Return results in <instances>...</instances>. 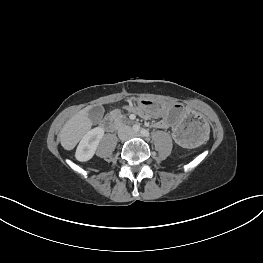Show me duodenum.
<instances>
[{"label":"duodenum","instance_id":"410a0bca","mask_svg":"<svg viewBox=\"0 0 263 263\" xmlns=\"http://www.w3.org/2000/svg\"><path fill=\"white\" fill-rule=\"evenodd\" d=\"M104 125L106 128L112 130V129L120 126L121 122L115 116L110 115V116L105 118Z\"/></svg>","mask_w":263,"mask_h":263}]
</instances>
